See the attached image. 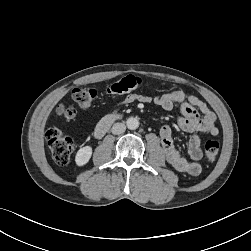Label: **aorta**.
<instances>
[{"label": "aorta", "mask_w": 251, "mask_h": 251, "mask_svg": "<svg viewBox=\"0 0 251 251\" xmlns=\"http://www.w3.org/2000/svg\"><path fill=\"white\" fill-rule=\"evenodd\" d=\"M127 128L135 130L139 127V120L135 117H129L126 121Z\"/></svg>", "instance_id": "aorta-1"}]
</instances>
